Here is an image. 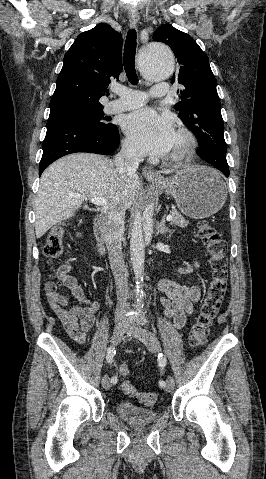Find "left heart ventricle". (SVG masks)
Listing matches in <instances>:
<instances>
[{"label":"left heart ventricle","instance_id":"obj_1","mask_svg":"<svg viewBox=\"0 0 266 479\" xmlns=\"http://www.w3.org/2000/svg\"><path fill=\"white\" fill-rule=\"evenodd\" d=\"M182 138H180L177 134L175 135V139L172 145L171 150L169 151V154H171L174 150H176L181 144H182Z\"/></svg>","mask_w":266,"mask_h":479}]
</instances>
